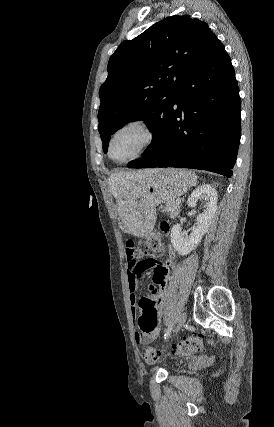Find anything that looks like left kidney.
I'll use <instances>...</instances> for the list:
<instances>
[{
    "instance_id": "left-kidney-1",
    "label": "left kidney",
    "mask_w": 274,
    "mask_h": 427,
    "mask_svg": "<svg viewBox=\"0 0 274 427\" xmlns=\"http://www.w3.org/2000/svg\"><path fill=\"white\" fill-rule=\"evenodd\" d=\"M199 200H204L205 204L203 208L205 210L203 214L197 215V223L194 225L190 235H187L186 231H182L179 223L173 225L171 229V243L179 255H187V253H190L192 249L197 247L202 239V235L208 231L211 219L217 210V192L209 184H202V186H198L192 192L187 202L189 208H195Z\"/></svg>"
}]
</instances>
